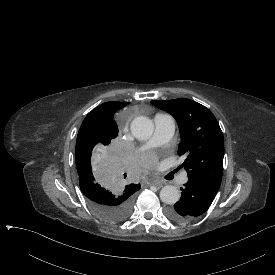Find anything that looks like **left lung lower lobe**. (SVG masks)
<instances>
[{
  "label": "left lung lower lobe",
  "instance_id": "left-lung-lower-lobe-1",
  "mask_svg": "<svg viewBox=\"0 0 275 275\" xmlns=\"http://www.w3.org/2000/svg\"><path fill=\"white\" fill-rule=\"evenodd\" d=\"M181 198L174 207L167 209L168 217L176 222H186L202 215L210 207L218 189L189 179L184 188H181Z\"/></svg>",
  "mask_w": 275,
  "mask_h": 275
}]
</instances>
